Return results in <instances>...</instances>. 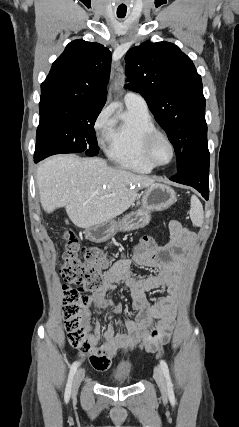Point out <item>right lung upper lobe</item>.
<instances>
[{"label":"right lung upper lobe","mask_w":239,"mask_h":427,"mask_svg":"<svg viewBox=\"0 0 239 427\" xmlns=\"http://www.w3.org/2000/svg\"><path fill=\"white\" fill-rule=\"evenodd\" d=\"M111 52L98 43L74 40L53 63L41 84L40 101H68L103 107Z\"/></svg>","instance_id":"obj_1"}]
</instances>
